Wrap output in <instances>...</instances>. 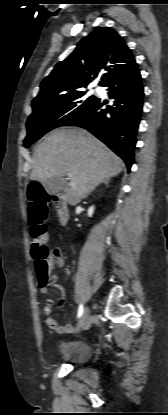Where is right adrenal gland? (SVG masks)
Returning <instances> with one entry per match:
<instances>
[{
	"instance_id": "1",
	"label": "right adrenal gland",
	"mask_w": 168,
	"mask_h": 415,
	"mask_svg": "<svg viewBox=\"0 0 168 415\" xmlns=\"http://www.w3.org/2000/svg\"><path fill=\"white\" fill-rule=\"evenodd\" d=\"M102 183H104L105 185H108V180H103Z\"/></svg>"
}]
</instances>
